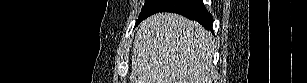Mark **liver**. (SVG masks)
<instances>
[{
  "mask_svg": "<svg viewBox=\"0 0 307 83\" xmlns=\"http://www.w3.org/2000/svg\"><path fill=\"white\" fill-rule=\"evenodd\" d=\"M214 40L195 21L157 13L141 22L132 54V83H212Z\"/></svg>",
  "mask_w": 307,
  "mask_h": 83,
  "instance_id": "obj_1",
  "label": "liver"
}]
</instances>
